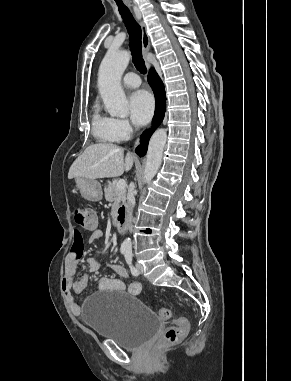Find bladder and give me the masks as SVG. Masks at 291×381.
<instances>
[{"label":"bladder","instance_id":"bladder-1","mask_svg":"<svg viewBox=\"0 0 291 381\" xmlns=\"http://www.w3.org/2000/svg\"><path fill=\"white\" fill-rule=\"evenodd\" d=\"M82 320L98 337L114 340L129 350L145 346L162 324L142 300L129 293L113 297L95 294L87 299Z\"/></svg>","mask_w":291,"mask_h":381}]
</instances>
